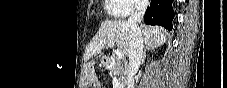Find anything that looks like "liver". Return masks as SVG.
Masks as SVG:
<instances>
[{"mask_svg": "<svg viewBox=\"0 0 227 88\" xmlns=\"http://www.w3.org/2000/svg\"><path fill=\"white\" fill-rule=\"evenodd\" d=\"M143 41L148 49H154L167 41L169 34L161 27L142 25L139 27ZM109 42H115L123 54L128 55L129 30L124 20H105L102 22L98 32L86 47L85 59L101 53Z\"/></svg>", "mask_w": 227, "mask_h": 88, "instance_id": "6515ba94", "label": "liver"}]
</instances>
